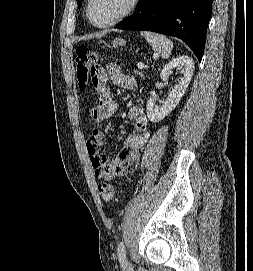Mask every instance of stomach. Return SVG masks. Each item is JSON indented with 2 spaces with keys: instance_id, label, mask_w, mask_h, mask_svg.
<instances>
[{
  "instance_id": "1",
  "label": "stomach",
  "mask_w": 253,
  "mask_h": 271,
  "mask_svg": "<svg viewBox=\"0 0 253 271\" xmlns=\"http://www.w3.org/2000/svg\"><path fill=\"white\" fill-rule=\"evenodd\" d=\"M112 44L113 46H123L126 44V42L123 39H115Z\"/></svg>"
}]
</instances>
